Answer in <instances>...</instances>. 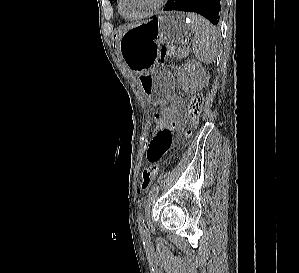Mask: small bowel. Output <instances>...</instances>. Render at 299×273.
I'll return each instance as SVG.
<instances>
[{
  "label": "small bowel",
  "instance_id": "c3829d8e",
  "mask_svg": "<svg viewBox=\"0 0 299 273\" xmlns=\"http://www.w3.org/2000/svg\"><path fill=\"white\" fill-rule=\"evenodd\" d=\"M179 112L174 121L166 128L156 130L151 141L146 147L147 159L150 163H156L171 148L174 140L181 137L182 131L187 123V117L184 112V103L177 100Z\"/></svg>",
  "mask_w": 299,
  "mask_h": 273
}]
</instances>
